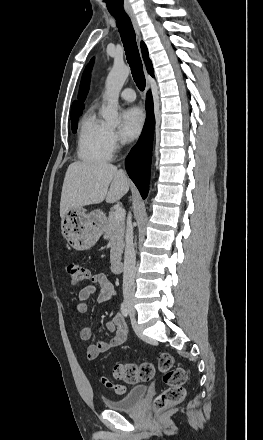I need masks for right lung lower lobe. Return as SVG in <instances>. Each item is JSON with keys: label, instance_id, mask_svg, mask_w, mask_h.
<instances>
[{"label": "right lung lower lobe", "instance_id": "1", "mask_svg": "<svg viewBox=\"0 0 263 440\" xmlns=\"http://www.w3.org/2000/svg\"><path fill=\"white\" fill-rule=\"evenodd\" d=\"M147 119L142 135L125 160L128 175L145 199L149 190L152 142L154 133V115L152 96L149 92L146 100Z\"/></svg>", "mask_w": 263, "mask_h": 440}]
</instances>
